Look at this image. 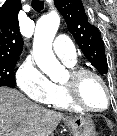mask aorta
I'll return each instance as SVG.
<instances>
[{"label": "aorta", "instance_id": "obj_1", "mask_svg": "<svg viewBox=\"0 0 117 136\" xmlns=\"http://www.w3.org/2000/svg\"><path fill=\"white\" fill-rule=\"evenodd\" d=\"M59 24V15L56 12L48 13L37 21L34 34L33 53L35 61L38 67L51 79H57L65 71L52 50V43Z\"/></svg>", "mask_w": 117, "mask_h": 136}]
</instances>
